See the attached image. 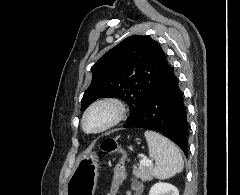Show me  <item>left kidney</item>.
Returning <instances> with one entry per match:
<instances>
[{
  "label": "left kidney",
  "mask_w": 240,
  "mask_h": 195,
  "mask_svg": "<svg viewBox=\"0 0 240 195\" xmlns=\"http://www.w3.org/2000/svg\"><path fill=\"white\" fill-rule=\"evenodd\" d=\"M149 195H179V191L172 183H164V181H158L150 187Z\"/></svg>",
  "instance_id": "5707ae66"
}]
</instances>
